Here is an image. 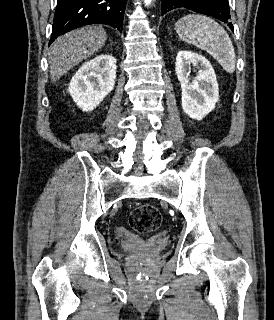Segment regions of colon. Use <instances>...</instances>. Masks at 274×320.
Returning <instances> with one entry per match:
<instances>
[{
	"label": "colon",
	"mask_w": 274,
	"mask_h": 320,
	"mask_svg": "<svg viewBox=\"0 0 274 320\" xmlns=\"http://www.w3.org/2000/svg\"><path fill=\"white\" fill-rule=\"evenodd\" d=\"M132 230L137 234L153 233L162 222V215L153 205L141 203L134 207L129 217Z\"/></svg>",
	"instance_id": "1"
}]
</instances>
